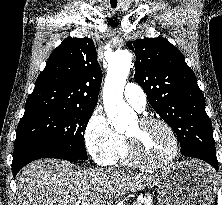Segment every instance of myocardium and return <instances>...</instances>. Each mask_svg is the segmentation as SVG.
<instances>
[{"mask_svg": "<svg viewBox=\"0 0 222 205\" xmlns=\"http://www.w3.org/2000/svg\"><path fill=\"white\" fill-rule=\"evenodd\" d=\"M138 121L141 125L158 124L162 126L169 133L172 139L173 150L171 154L163 160L160 161L150 160L142 155L137 140L134 137L126 135L129 154L132 160L138 164L151 168H165L173 164L175 160L178 158L180 152L179 139L173 127L165 120L152 116L141 117L138 119Z\"/></svg>", "mask_w": 222, "mask_h": 205, "instance_id": "1", "label": "myocardium"}]
</instances>
